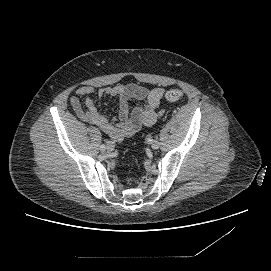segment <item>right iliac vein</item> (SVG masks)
Segmentation results:
<instances>
[{
	"mask_svg": "<svg viewBox=\"0 0 271 271\" xmlns=\"http://www.w3.org/2000/svg\"><path fill=\"white\" fill-rule=\"evenodd\" d=\"M114 148H115V145H114L113 142H108L107 143L106 149H107L108 152H112L114 150Z\"/></svg>",
	"mask_w": 271,
	"mask_h": 271,
	"instance_id": "right-iliac-vein-1",
	"label": "right iliac vein"
}]
</instances>
